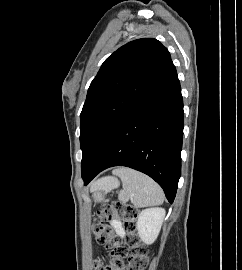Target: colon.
Listing matches in <instances>:
<instances>
[{
    "instance_id": "colon-1",
    "label": "colon",
    "mask_w": 242,
    "mask_h": 270,
    "mask_svg": "<svg viewBox=\"0 0 242 270\" xmlns=\"http://www.w3.org/2000/svg\"><path fill=\"white\" fill-rule=\"evenodd\" d=\"M138 211L122 202L102 206L96 213L95 240L108 249V263L95 262L94 270H145L148 265V248L136 231ZM117 219L124 223V243L112 231L109 221ZM127 259V263H125Z\"/></svg>"
}]
</instances>
